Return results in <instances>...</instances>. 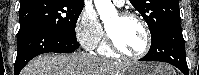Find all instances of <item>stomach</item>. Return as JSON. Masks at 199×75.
<instances>
[{"instance_id":"1","label":"stomach","mask_w":199,"mask_h":75,"mask_svg":"<svg viewBox=\"0 0 199 75\" xmlns=\"http://www.w3.org/2000/svg\"><path fill=\"white\" fill-rule=\"evenodd\" d=\"M169 67L162 63H135L128 66L123 75H170Z\"/></svg>"}]
</instances>
